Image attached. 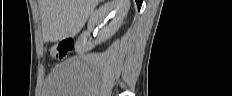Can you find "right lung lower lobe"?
Listing matches in <instances>:
<instances>
[{
    "mask_svg": "<svg viewBox=\"0 0 232 96\" xmlns=\"http://www.w3.org/2000/svg\"><path fill=\"white\" fill-rule=\"evenodd\" d=\"M135 1H136V3H137L138 9H140L143 0H135Z\"/></svg>",
    "mask_w": 232,
    "mask_h": 96,
    "instance_id": "1",
    "label": "right lung lower lobe"
}]
</instances>
